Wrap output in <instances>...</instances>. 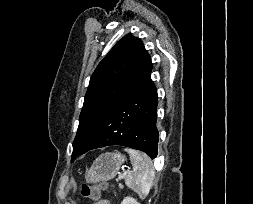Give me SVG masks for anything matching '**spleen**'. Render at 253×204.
Wrapping results in <instances>:
<instances>
[{"label": "spleen", "instance_id": "obj_1", "mask_svg": "<svg viewBox=\"0 0 253 204\" xmlns=\"http://www.w3.org/2000/svg\"><path fill=\"white\" fill-rule=\"evenodd\" d=\"M125 151L129 154L133 166V171L126 176L125 183L144 198L148 195L155 176L152 160L146 153L129 148Z\"/></svg>", "mask_w": 253, "mask_h": 204}]
</instances>
